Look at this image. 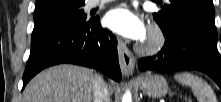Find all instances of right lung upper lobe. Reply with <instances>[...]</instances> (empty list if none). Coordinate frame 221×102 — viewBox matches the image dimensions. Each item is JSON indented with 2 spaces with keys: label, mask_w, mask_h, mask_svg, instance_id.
<instances>
[{
  "label": "right lung upper lobe",
  "mask_w": 221,
  "mask_h": 102,
  "mask_svg": "<svg viewBox=\"0 0 221 102\" xmlns=\"http://www.w3.org/2000/svg\"><path fill=\"white\" fill-rule=\"evenodd\" d=\"M46 1H48V0H37L36 1V7H39V6H41L43 3H45Z\"/></svg>",
  "instance_id": "cb5924a9"
}]
</instances>
